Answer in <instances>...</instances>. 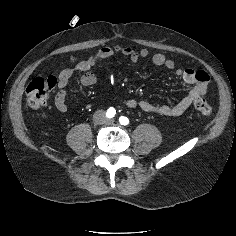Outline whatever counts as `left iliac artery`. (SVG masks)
I'll list each match as a JSON object with an SVG mask.
<instances>
[{"mask_svg":"<svg viewBox=\"0 0 236 236\" xmlns=\"http://www.w3.org/2000/svg\"><path fill=\"white\" fill-rule=\"evenodd\" d=\"M119 122L122 124V125H128L129 124V119L125 116H120L119 117Z\"/></svg>","mask_w":236,"mask_h":236,"instance_id":"obj_1","label":"left iliac artery"}]
</instances>
